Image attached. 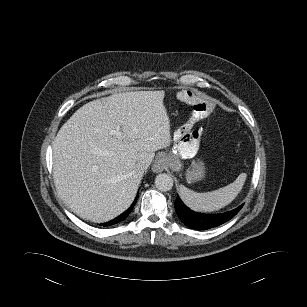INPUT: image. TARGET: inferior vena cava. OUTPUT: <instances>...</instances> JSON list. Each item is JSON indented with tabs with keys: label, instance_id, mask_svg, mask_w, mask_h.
<instances>
[{
	"label": "inferior vena cava",
	"instance_id": "inferior-vena-cava-1",
	"mask_svg": "<svg viewBox=\"0 0 307 307\" xmlns=\"http://www.w3.org/2000/svg\"><path fill=\"white\" fill-rule=\"evenodd\" d=\"M136 168L139 171V173L143 174L144 171L148 168V164L144 161H141L136 165Z\"/></svg>",
	"mask_w": 307,
	"mask_h": 307
}]
</instances>
